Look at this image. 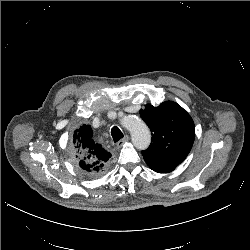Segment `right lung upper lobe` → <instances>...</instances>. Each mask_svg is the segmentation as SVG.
Masks as SVG:
<instances>
[{
	"instance_id": "right-lung-upper-lobe-1",
	"label": "right lung upper lobe",
	"mask_w": 250,
	"mask_h": 250,
	"mask_svg": "<svg viewBox=\"0 0 250 250\" xmlns=\"http://www.w3.org/2000/svg\"><path fill=\"white\" fill-rule=\"evenodd\" d=\"M73 149L76 163L84 169L100 170L109 164L111 154L93 140L90 125L83 124L74 131Z\"/></svg>"
}]
</instances>
